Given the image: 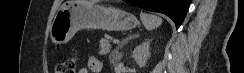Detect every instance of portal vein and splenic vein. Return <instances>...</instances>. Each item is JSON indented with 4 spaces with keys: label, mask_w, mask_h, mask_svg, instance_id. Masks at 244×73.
Wrapping results in <instances>:
<instances>
[{
    "label": "portal vein and splenic vein",
    "mask_w": 244,
    "mask_h": 73,
    "mask_svg": "<svg viewBox=\"0 0 244 73\" xmlns=\"http://www.w3.org/2000/svg\"><path fill=\"white\" fill-rule=\"evenodd\" d=\"M113 43L117 44V43H119V40H113Z\"/></svg>",
    "instance_id": "18ae733b"
}]
</instances>
